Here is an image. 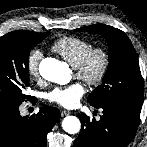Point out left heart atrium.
Wrapping results in <instances>:
<instances>
[{
	"label": "left heart atrium",
	"mask_w": 147,
	"mask_h": 147,
	"mask_svg": "<svg viewBox=\"0 0 147 147\" xmlns=\"http://www.w3.org/2000/svg\"><path fill=\"white\" fill-rule=\"evenodd\" d=\"M85 88L81 83H73L67 86L55 87L46 94V99L62 107H75L84 95Z\"/></svg>",
	"instance_id": "left-heart-atrium-1"
}]
</instances>
